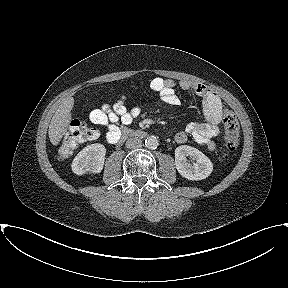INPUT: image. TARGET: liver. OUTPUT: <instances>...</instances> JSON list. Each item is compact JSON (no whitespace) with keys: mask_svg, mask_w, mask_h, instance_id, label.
<instances>
[{"mask_svg":"<svg viewBox=\"0 0 288 288\" xmlns=\"http://www.w3.org/2000/svg\"><path fill=\"white\" fill-rule=\"evenodd\" d=\"M74 105V99L72 97L67 98L56 110L54 116L51 119L48 135L50 142L53 145H58L62 137L67 132V128L71 121V110Z\"/></svg>","mask_w":288,"mask_h":288,"instance_id":"1","label":"liver"}]
</instances>
